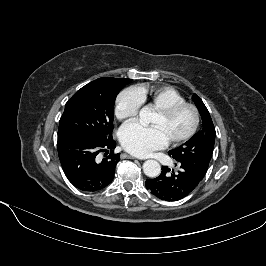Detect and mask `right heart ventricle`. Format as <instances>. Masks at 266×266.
<instances>
[{
    "instance_id": "e07e8e85",
    "label": "right heart ventricle",
    "mask_w": 266,
    "mask_h": 266,
    "mask_svg": "<svg viewBox=\"0 0 266 266\" xmlns=\"http://www.w3.org/2000/svg\"><path fill=\"white\" fill-rule=\"evenodd\" d=\"M138 89L144 102H147L156 110L186 102L185 97L181 93L169 86L153 88L140 87Z\"/></svg>"
}]
</instances>
